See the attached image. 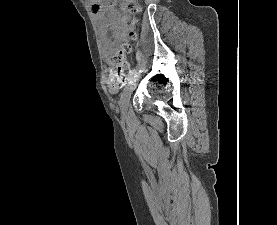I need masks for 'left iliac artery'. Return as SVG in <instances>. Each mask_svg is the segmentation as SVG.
<instances>
[{
	"label": "left iliac artery",
	"instance_id": "44dca946",
	"mask_svg": "<svg viewBox=\"0 0 277 225\" xmlns=\"http://www.w3.org/2000/svg\"><path fill=\"white\" fill-rule=\"evenodd\" d=\"M141 70H133V72L131 73L130 79L134 76H136L138 73H140Z\"/></svg>",
	"mask_w": 277,
	"mask_h": 225
}]
</instances>
